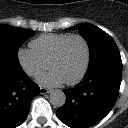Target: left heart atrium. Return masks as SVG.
Returning <instances> with one entry per match:
<instances>
[{
	"label": "left heart atrium",
	"instance_id": "39dd6f15",
	"mask_svg": "<svg viewBox=\"0 0 128 128\" xmlns=\"http://www.w3.org/2000/svg\"><path fill=\"white\" fill-rule=\"evenodd\" d=\"M38 83L45 87H56L64 83L62 77L54 70H50L37 79Z\"/></svg>",
	"mask_w": 128,
	"mask_h": 128
}]
</instances>
